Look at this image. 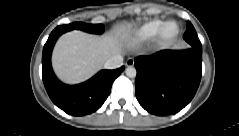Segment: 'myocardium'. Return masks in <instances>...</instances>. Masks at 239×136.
<instances>
[{"label": "myocardium", "mask_w": 239, "mask_h": 136, "mask_svg": "<svg viewBox=\"0 0 239 136\" xmlns=\"http://www.w3.org/2000/svg\"><path fill=\"white\" fill-rule=\"evenodd\" d=\"M172 25H174V23L173 22H169V23H166V24H163V26L161 27V29H160V31H159V33H158V40L161 42V43H163V44H166L168 41H167V37L165 36V32H166V30L170 27V26H172ZM178 34V30H176V33H175V35H177ZM174 35V36H175ZM173 36V37H174ZM172 38V37H171Z\"/></svg>", "instance_id": "1"}]
</instances>
